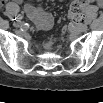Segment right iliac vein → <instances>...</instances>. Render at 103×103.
Returning <instances> with one entry per match:
<instances>
[{
	"instance_id": "right-iliac-vein-1",
	"label": "right iliac vein",
	"mask_w": 103,
	"mask_h": 103,
	"mask_svg": "<svg viewBox=\"0 0 103 103\" xmlns=\"http://www.w3.org/2000/svg\"><path fill=\"white\" fill-rule=\"evenodd\" d=\"M14 25H15V27H21L23 25V23L20 20H18L14 23Z\"/></svg>"
}]
</instances>
